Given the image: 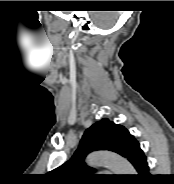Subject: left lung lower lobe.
Listing matches in <instances>:
<instances>
[{
  "label": "left lung lower lobe",
  "instance_id": "obj_1",
  "mask_svg": "<svg viewBox=\"0 0 174 184\" xmlns=\"http://www.w3.org/2000/svg\"><path fill=\"white\" fill-rule=\"evenodd\" d=\"M126 158L137 170L138 172V174L136 175L137 178L145 179L150 177L146 157L143 151L141 150L138 142L134 144V146L131 148Z\"/></svg>",
  "mask_w": 174,
  "mask_h": 184
}]
</instances>
